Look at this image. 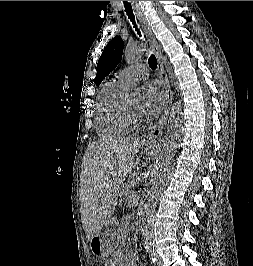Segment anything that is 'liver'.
<instances>
[{
  "label": "liver",
  "instance_id": "1",
  "mask_svg": "<svg viewBox=\"0 0 253 266\" xmlns=\"http://www.w3.org/2000/svg\"><path fill=\"white\" fill-rule=\"evenodd\" d=\"M142 147L151 146L133 137L92 142L86 149L81 173V220L88 241L114 214L120 189L132 169L139 165ZM137 157V158H136Z\"/></svg>",
  "mask_w": 253,
  "mask_h": 266
}]
</instances>
